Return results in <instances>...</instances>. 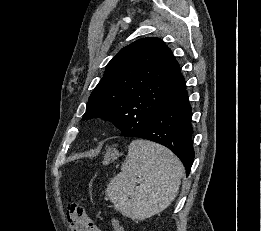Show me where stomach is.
I'll list each match as a JSON object with an SVG mask.
<instances>
[{"mask_svg": "<svg viewBox=\"0 0 261 231\" xmlns=\"http://www.w3.org/2000/svg\"><path fill=\"white\" fill-rule=\"evenodd\" d=\"M119 152L116 149H108L104 155L103 164L107 165L115 161L119 157Z\"/></svg>", "mask_w": 261, "mask_h": 231, "instance_id": "stomach-1", "label": "stomach"}]
</instances>
